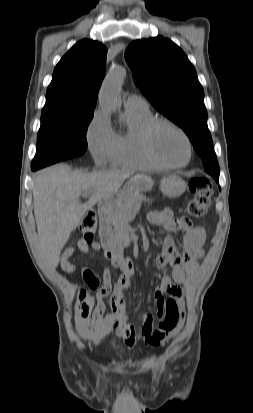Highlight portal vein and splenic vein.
Wrapping results in <instances>:
<instances>
[{
    "instance_id": "18ae733b",
    "label": "portal vein and splenic vein",
    "mask_w": 253,
    "mask_h": 413,
    "mask_svg": "<svg viewBox=\"0 0 253 413\" xmlns=\"http://www.w3.org/2000/svg\"><path fill=\"white\" fill-rule=\"evenodd\" d=\"M82 196H83V197H89V196H90V192H89V191H86V192L82 193Z\"/></svg>"
}]
</instances>
